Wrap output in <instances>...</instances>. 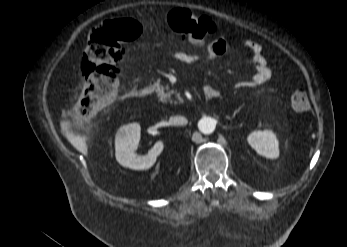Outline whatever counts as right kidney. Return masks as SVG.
<instances>
[{
  "mask_svg": "<svg viewBox=\"0 0 347 247\" xmlns=\"http://www.w3.org/2000/svg\"><path fill=\"white\" fill-rule=\"evenodd\" d=\"M141 127L138 123L122 126L115 138V156L120 165L133 170L149 169L163 151L162 141H157L146 155L136 153Z\"/></svg>",
  "mask_w": 347,
  "mask_h": 247,
  "instance_id": "1",
  "label": "right kidney"
}]
</instances>
